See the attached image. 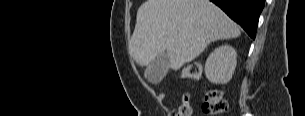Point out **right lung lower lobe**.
Here are the masks:
<instances>
[{"label": "right lung lower lobe", "instance_id": "1", "mask_svg": "<svg viewBox=\"0 0 305 116\" xmlns=\"http://www.w3.org/2000/svg\"><path fill=\"white\" fill-rule=\"evenodd\" d=\"M219 6L231 19L237 22L255 39L257 24L265 0H210Z\"/></svg>", "mask_w": 305, "mask_h": 116}]
</instances>
